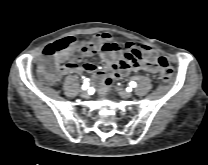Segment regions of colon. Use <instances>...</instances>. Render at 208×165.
Here are the masks:
<instances>
[{
	"mask_svg": "<svg viewBox=\"0 0 208 165\" xmlns=\"http://www.w3.org/2000/svg\"><path fill=\"white\" fill-rule=\"evenodd\" d=\"M92 50L93 47L90 43L74 37L57 40L44 49L38 69L39 75L44 81L54 83L58 77L59 71L57 66L60 62L69 59L75 63ZM130 57L128 55V58ZM157 63L160 67V82L164 84L169 83L173 78L172 67L164 57H159Z\"/></svg>",
	"mask_w": 208,
	"mask_h": 165,
	"instance_id": "5ec220e1",
	"label": "colon"
}]
</instances>
